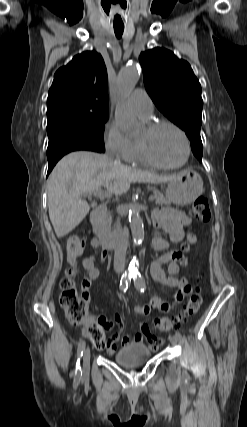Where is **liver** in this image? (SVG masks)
<instances>
[{"label": "liver", "instance_id": "1", "mask_svg": "<svg viewBox=\"0 0 247 427\" xmlns=\"http://www.w3.org/2000/svg\"><path fill=\"white\" fill-rule=\"evenodd\" d=\"M175 175H158L128 167L107 155L76 151L64 156L48 179L49 217L58 238L75 229L89 212L82 196L106 187L114 194L126 193L130 184H158Z\"/></svg>", "mask_w": 247, "mask_h": 427}]
</instances>
